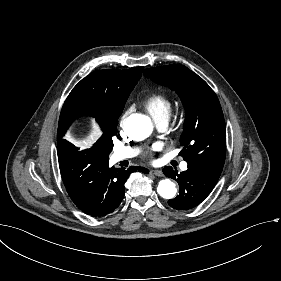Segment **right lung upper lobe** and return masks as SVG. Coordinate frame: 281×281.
Returning <instances> with one entry per match:
<instances>
[{
    "label": "right lung upper lobe",
    "mask_w": 281,
    "mask_h": 281,
    "mask_svg": "<svg viewBox=\"0 0 281 281\" xmlns=\"http://www.w3.org/2000/svg\"><path fill=\"white\" fill-rule=\"evenodd\" d=\"M143 67L94 71L82 79L68 95L61 110L57 141L72 121L81 115L94 117L101 124L118 120L125 102L142 75Z\"/></svg>",
    "instance_id": "obj_1"
}]
</instances>
